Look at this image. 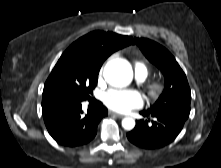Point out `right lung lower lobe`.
Masks as SVG:
<instances>
[{
	"instance_id": "right-lung-lower-lobe-1",
	"label": "right lung lower lobe",
	"mask_w": 221,
	"mask_h": 168,
	"mask_svg": "<svg viewBox=\"0 0 221 168\" xmlns=\"http://www.w3.org/2000/svg\"><path fill=\"white\" fill-rule=\"evenodd\" d=\"M70 96L51 94L42 97V112L46 128L53 139L64 146H80L90 142L97 133V125L108 114L100 101L92 99L93 108L83 114L82 102Z\"/></svg>"
}]
</instances>
